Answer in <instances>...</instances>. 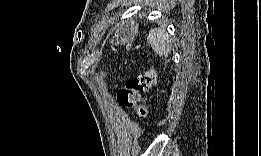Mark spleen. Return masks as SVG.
<instances>
[{"label":"spleen","mask_w":261,"mask_h":156,"mask_svg":"<svg viewBox=\"0 0 261 156\" xmlns=\"http://www.w3.org/2000/svg\"><path fill=\"white\" fill-rule=\"evenodd\" d=\"M155 53L159 56L168 57L171 52V40L165 27L152 29L147 38Z\"/></svg>","instance_id":"spleen-1"}]
</instances>
